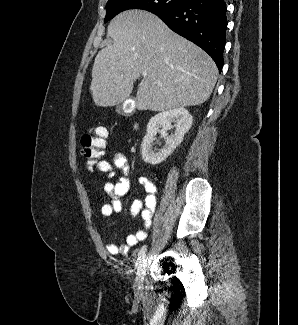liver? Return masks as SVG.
I'll return each mask as SVG.
<instances>
[{
	"mask_svg": "<svg viewBox=\"0 0 298 325\" xmlns=\"http://www.w3.org/2000/svg\"><path fill=\"white\" fill-rule=\"evenodd\" d=\"M112 44L99 50L90 92L97 106L124 102L142 72L138 110H171L202 104L209 98L218 68L202 48L168 28L148 10H124L108 24ZM160 80L162 84H157Z\"/></svg>",
	"mask_w": 298,
	"mask_h": 325,
	"instance_id": "liver-1",
	"label": "liver"
}]
</instances>
